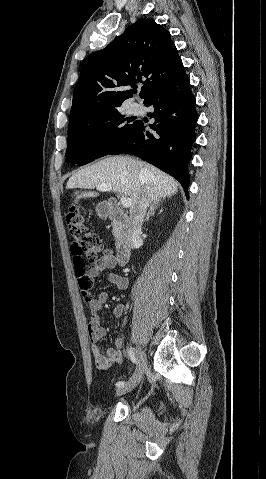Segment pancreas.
Segmentation results:
<instances>
[{
	"instance_id": "obj_1",
	"label": "pancreas",
	"mask_w": 266,
	"mask_h": 479,
	"mask_svg": "<svg viewBox=\"0 0 266 479\" xmlns=\"http://www.w3.org/2000/svg\"><path fill=\"white\" fill-rule=\"evenodd\" d=\"M113 234L116 240V247L119 248L121 245V235L120 233H116L115 231H113Z\"/></svg>"
}]
</instances>
